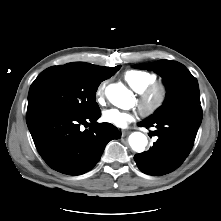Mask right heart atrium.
<instances>
[{
    "mask_svg": "<svg viewBox=\"0 0 221 221\" xmlns=\"http://www.w3.org/2000/svg\"><path fill=\"white\" fill-rule=\"evenodd\" d=\"M104 85H101L98 87L97 91H96V97H97V100L99 102H103L104 100Z\"/></svg>",
    "mask_w": 221,
    "mask_h": 221,
    "instance_id": "d8ad5b80",
    "label": "right heart atrium"
}]
</instances>
